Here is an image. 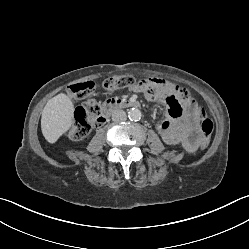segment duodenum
<instances>
[{"mask_svg": "<svg viewBox=\"0 0 249 249\" xmlns=\"http://www.w3.org/2000/svg\"><path fill=\"white\" fill-rule=\"evenodd\" d=\"M140 103L134 100L127 99H111L108 100L103 107V117L102 120L107 119L111 114L120 109L126 108H138Z\"/></svg>", "mask_w": 249, "mask_h": 249, "instance_id": "duodenum-1", "label": "duodenum"}]
</instances>
